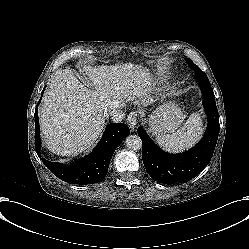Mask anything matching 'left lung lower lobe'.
I'll use <instances>...</instances> for the list:
<instances>
[{"label":"left lung lower lobe","instance_id":"1","mask_svg":"<svg viewBox=\"0 0 249 249\" xmlns=\"http://www.w3.org/2000/svg\"><path fill=\"white\" fill-rule=\"evenodd\" d=\"M198 81L208 126L202 140L194 148L181 154H167L152 142L143 128H138V135L143 144V163L154 181L167 185L188 181L197 176L212 158L220 129L219 114L209 80Z\"/></svg>","mask_w":249,"mask_h":249}]
</instances>
